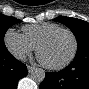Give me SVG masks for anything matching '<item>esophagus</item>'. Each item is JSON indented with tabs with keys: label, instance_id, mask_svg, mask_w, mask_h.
Segmentation results:
<instances>
[{
	"label": "esophagus",
	"instance_id": "34e87169",
	"mask_svg": "<svg viewBox=\"0 0 89 89\" xmlns=\"http://www.w3.org/2000/svg\"><path fill=\"white\" fill-rule=\"evenodd\" d=\"M27 69H28L29 73H31L35 68L32 66H27Z\"/></svg>",
	"mask_w": 89,
	"mask_h": 89
}]
</instances>
